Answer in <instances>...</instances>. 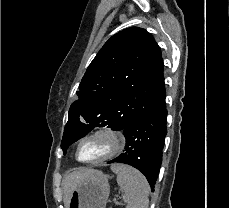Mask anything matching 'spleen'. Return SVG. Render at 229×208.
I'll list each match as a JSON object with an SVG mask.
<instances>
[{"instance_id": "obj_1", "label": "spleen", "mask_w": 229, "mask_h": 208, "mask_svg": "<svg viewBox=\"0 0 229 208\" xmlns=\"http://www.w3.org/2000/svg\"><path fill=\"white\" fill-rule=\"evenodd\" d=\"M111 170L117 174V184L124 192L126 208H148L149 184L145 176L124 164H112Z\"/></svg>"}]
</instances>
